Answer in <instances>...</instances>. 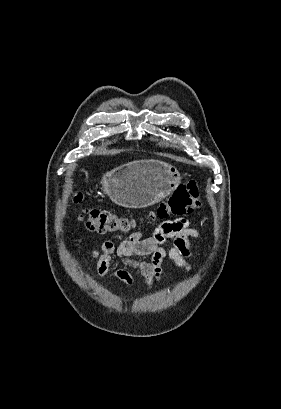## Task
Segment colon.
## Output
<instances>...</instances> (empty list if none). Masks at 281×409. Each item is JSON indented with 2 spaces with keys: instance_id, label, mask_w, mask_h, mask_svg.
Listing matches in <instances>:
<instances>
[{
  "instance_id": "colon-1",
  "label": "colon",
  "mask_w": 281,
  "mask_h": 409,
  "mask_svg": "<svg viewBox=\"0 0 281 409\" xmlns=\"http://www.w3.org/2000/svg\"><path fill=\"white\" fill-rule=\"evenodd\" d=\"M80 220L98 234L112 235L129 233L137 228L136 223L128 216L110 210L91 208L84 203V194L78 191L73 196ZM200 207L199 188L196 184H181L174 193L161 202L152 213L153 220H163L186 216Z\"/></svg>"
}]
</instances>
